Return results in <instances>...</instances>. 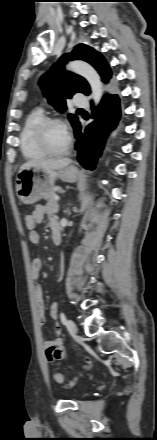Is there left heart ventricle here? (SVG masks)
<instances>
[{"mask_svg": "<svg viewBox=\"0 0 157 440\" xmlns=\"http://www.w3.org/2000/svg\"><path fill=\"white\" fill-rule=\"evenodd\" d=\"M46 141L52 150L59 151L68 145L69 137L63 126L53 124L46 129Z\"/></svg>", "mask_w": 157, "mask_h": 440, "instance_id": "1", "label": "left heart ventricle"}]
</instances>
